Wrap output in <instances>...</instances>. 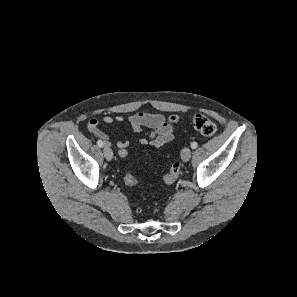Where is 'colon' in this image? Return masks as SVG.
<instances>
[{
	"label": "colon",
	"mask_w": 297,
	"mask_h": 297,
	"mask_svg": "<svg viewBox=\"0 0 297 297\" xmlns=\"http://www.w3.org/2000/svg\"><path fill=\"white\" fill-rule=\"evenodd\" d=\"M169 123H177L179 121L178 116H171L168 119ZM192 125L199 133H201L204 136H213L217 132V126L216 124L208 118L206 115L197 113L192 117ZM118 157L120 159H125L128 157L129 152L125 148H120L117 151ZM181 170L180 163L176 162L174 163L169 172L163 177V181L166 184L173 183L179 176ZM124 182L129 187H135L138 182L137 179L134 177L133 174L127 173L124 176Z\"/></svg>",
	"instance_id": "1"
}]
</instances>
